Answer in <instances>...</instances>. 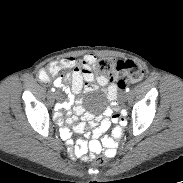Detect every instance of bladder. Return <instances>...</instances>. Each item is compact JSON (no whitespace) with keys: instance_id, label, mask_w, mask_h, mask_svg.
<instances>
[{"instance_id":"1","label":"bladder","mask_w":183,"mask_h":183,"mask_svg":"<svg viewBox=\"0 0 183 183\" xmlns=\"http://www.w3.org/2000/svg\"><path fill=\"white\" fill-rule=\"evenodd\" d=\"M107 100L103 94H93L88 101V106L92 112H99L106 106Z\"/></svg>"}]
</instances>
